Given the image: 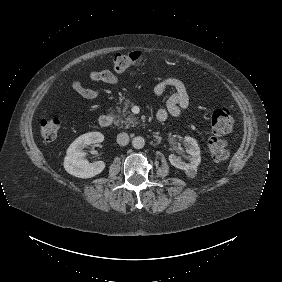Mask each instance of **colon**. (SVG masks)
<instances>
[{"label": "colon", "instance_id": "5ec220e1", "mask_svg": "<svg viewBox=\"0 0 282 282\" xmlns=\"http://www.w3.org/2000/svg\"><path fill=\"white\" fill-rule=\"evenodd\" d=\"M143 55L139 51L118 53L114 58V67L118 72L134 68L141 64ZM61 119L57 115L44 117L40 123V132L45 141H53L61 128ZM233 124V116L228 108H218L211 115V135L208 140V150L212 159L219 162L228 155L226 136Z\"/></svg>", "mask_w": 282, "mask_h": 282}]
</instances>
